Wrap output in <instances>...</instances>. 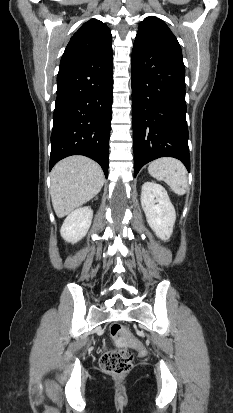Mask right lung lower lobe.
<instances>
[{
    "mask_svg": "<svg viewBox=\"0 0 233 413\" xmlns=\"http://www.w3.org/2000/svg\"><path fill=\"white\" fill-rule=\"evenodd\" d=\"M112 91V46L60 63L50 170L59 160L78 154L98 162L107 178Z\"/></svg>",
    "mask_w": 233,
    "mask_h": 413,
    "instance_id": "obj_1",
    "label": "right lung lower lobe"
}]
</instances>
